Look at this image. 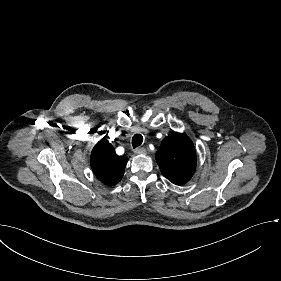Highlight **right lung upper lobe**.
Masks as SVG:
<instances>
[{
	"instance_id": "1",
	"label": "right lung upper lobe",
	"mask_w": 281,
	"mask_h": 281,
	"mask_svg": "<svg viewBox=\"0 0 281 281\" xmlns=\"http://www.w3.org/2000/svg\"><path fill=\"white\" fill-rule=\"evenodd\" d=\"M90 161L95 176L104 184L113 186L122 179L126 159L116 155L114 147L106 139L95 145Z\"/></svg>"
}]
</instances>
